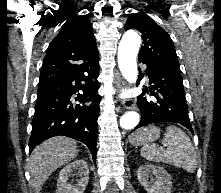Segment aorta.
<instances>
[{"label":"aorta","mask_w":221,"mask_h":193,"mask_svg":"<svg viewBox=\"0 0 221 193\" xmlns=\"http://www.w3.org/2000/svg\"><path fill=\"white\" fill-rule=\"evenodd\" d=\"M141 44L140 36L134 31H127L118 47V65L123 77L129 83H135L138 76L136 57ZM140 116L137 112L130 111L120 118L123 129H133L138 125Z\"/></svg>","instance_id":"aorta-1"}]
</instances>
